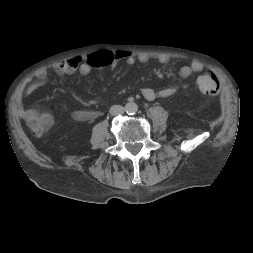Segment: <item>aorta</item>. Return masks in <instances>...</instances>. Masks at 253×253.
I'll return each instance as SVG.
<instances>
[{
  "label": "aorta",
  "mask_w": 253,
  "mask_h": 253,
  "mask_svg": "<svg viewBox=\"0 0 253 253\" xmlns=\"http://www.w3.org/2000/svg\"><path fill=\"white\" fill-rule=\"evenodd\" d=\"M124 108L128 114H135L138 111V105L135 102L126 103Z\"/></svg>",
  "instance_id": "762f6f07"
}]
</instances>
